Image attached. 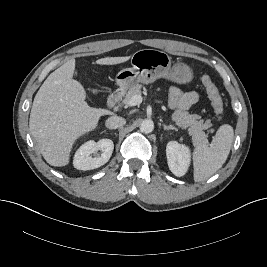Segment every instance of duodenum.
<instances>
[{
	"instance_id": "duodenum-1",
	"label": "duodenum",
	"mask_w": 267,
	"mask_h": 267,
	"mask_svg": "<svg viewBox=\"0 0 267 267\" xmlns=\"http://www.w3.org/2000/svg\"><path fill=\"white\" fill-rule=\"evenodd\" d=\"M123 94L124 91L122 89H117L112 92L107 99L108 107H114L122 99Z\"/></svg>"
}]
</instances>
